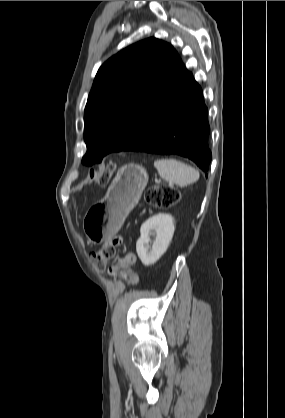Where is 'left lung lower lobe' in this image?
Instances as JSON below:
<instances>
[{"label": "left lung lower lobe", "mask_w": 285, "mask_h": 418, "mask_svg": "<svg viewBox=\"0 0 285 418\" xmlns=\"http://www.w3.org/2000/svg\"><path fill=\"white\" fill-rule=\"evenodd\" d=\"M208 109L200 85L182 64L171 85L122 151L177 154L208 171Z\"/></svg>", "instance_id": "obj_1"}]
</instances>
